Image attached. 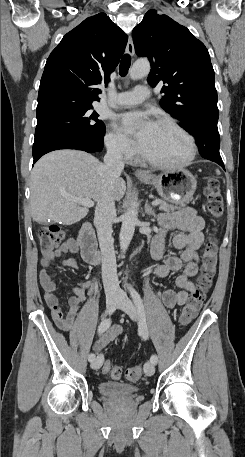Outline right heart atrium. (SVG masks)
<instances>
[{
	"label": "right heart atrium",
	"mask_w": 245,
	"mask_h": 457,
	"mask_svg": "<svg viewBox=\"0 0 245 457\" xmlns=\"http://www.w3.org/2000/svg\"><path fill=\"white\" fill-rule=\"evenodd\" d=\"M106 144L111 153L127 161H130L135 155L133 144L115 129L107 134Z\"/></svg>",
	"instance_id": "d8ad5b80"
}]
</instances>
